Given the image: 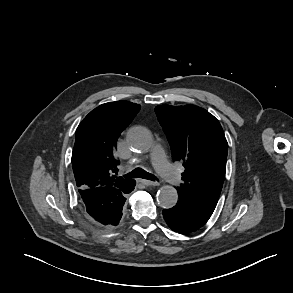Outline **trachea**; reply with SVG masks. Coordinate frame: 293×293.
Returning a JSON list of instances; mask_svg holds the SVG:
<instances>
[{"mask_svg":"<svg viewBox=\"0 0 293 293\" xmlns=\"http://www.w3.org/2000/svg\"><path fill=\"white\" fill-rule=\"evenodd\" d=\"M126 178H143V179H148V180H152L154 181L155 178L149 174L148 172H146L145 170H143L142 168H136L133 171H131L130 173L125 175Z\"/></svg>","mask_w":293,"mask_h":293,"instance_id":"1","label":"trachea"}]
</instances>
